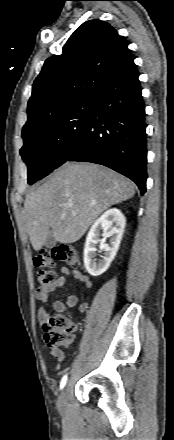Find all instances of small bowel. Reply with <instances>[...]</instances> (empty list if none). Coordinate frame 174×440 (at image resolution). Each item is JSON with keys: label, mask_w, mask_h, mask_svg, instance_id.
I'll use <instances>...</instances> for the list:
<instances>
[{"label": "small bowel", "mask_w": 174, "mask_h": 440, "mask_svg": "<svg viewBox=\"0 0 174 440\" xmlns=\"http://www.w3.org/2000/svg\"><path fill=\"white\" fill-rule=\"evenodd\" d=\"M61 273L62 276L56 278V280L50 286H41L35 291L36 299L42 304L38 310V319L41 324H43L49 318L47 304L50 301V294L63 287L66 283L67 277L73 276L74 279L80 282L85 288L91 287V281L89 280V278L77 269L63 266L61 268ZM77 304L78 297L71 294L66 296L64 299L53 301L52 308L56 312H66L75 307ZM78 309L81 313L86 312L88 309V304L86 302H83L79 305ZM51 354L57 359V361L63 360L64 354L61 350L52 349Z\"/></svg>", "instance_id": "c3829d8e"}]
</instances>
